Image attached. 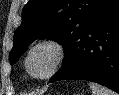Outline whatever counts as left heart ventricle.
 <instances>
[{
  "mask_svg": "<svg viewBox=\"0 0 119 95\" xmlns=\"http://www.w3.org/2000/svg\"><path fill=\"white\" fill-rule=\"evenodd\" d=\"M55 59V52L50 47H40L36 49L29 58V69L35 75L46 74Z\"/></svg>",
  "mask_w": 119,
  "mask_h": 95,
  "instance_id": "1",
  "label": "left heart ventricle"
}]
</instances>
